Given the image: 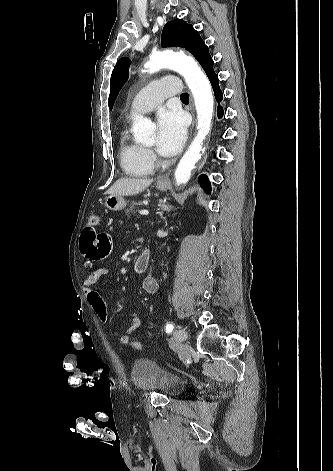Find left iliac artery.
I'll return each instance as SVG.
<instances>
[{
	"label": "left iliac artery",
	"mask_w": 333,
	"mask_h": 471,
	"mask_svg": "<svg viewBox=\"0 0 333 471\" xmlns=\"http://www.w3.org/2000/svg\"><path fill=\"white\" fill-rule=\"evenodd\" d=\"M173 329H174V325L172 323H168L166 325L165 330H166L167 333H171L173 331Z\"/></svg>",
	"instance_id": "44dca946"
}]
</instances>
